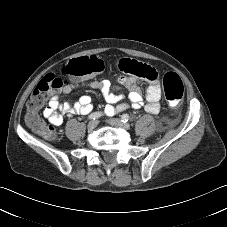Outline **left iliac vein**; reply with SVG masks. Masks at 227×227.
Instances as JSON below:
<instances>
[{"label":"left iliac vein","instance_id":"4c4485c4","mask_svg":"<svg viewBox=\"0 0 227 227\" xmlns=\"http://www.w3.org/2000/svg\"><path fill=\"white\" fill-rule=\"evenodd\" d=\"M107 122L111 126H114V127H117V128H122V129H125V130H128L130 128L128 123H124L120 119L113 118V119H109Z\"/></svg>","mask_w":227,"mask_h":227}]
</instances>
